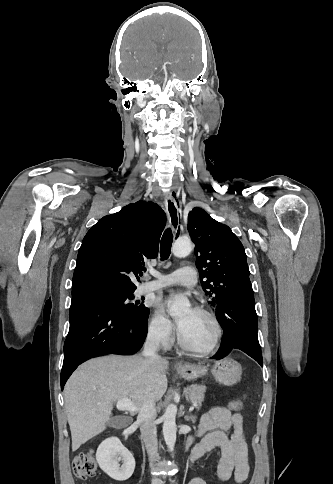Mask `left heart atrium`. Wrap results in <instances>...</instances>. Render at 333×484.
I'll return each mask as SVG.
<instances>
[{"instance_id": "39dd6f15", "label": "left heart atrium", "mask_w": 333, "mask_h": 484, "mask_svg": "<svg viewBox=\"0 0 333 484\" xmlns=\"http://www.w3.org/2000/svg\"><path fill=\"white\" fill-rule=\"evenodd\" d=\"M168 304H169V301H166L165 302V305H168ZM181 324H182V319L181 318H178V320H177L178 328H180Z\"/></svg>"}]
</instances>
